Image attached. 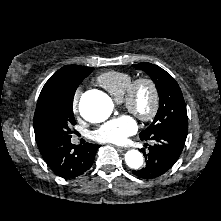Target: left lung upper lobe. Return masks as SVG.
<instances>
[{
  "label": "left lung upper lobe",
  "instance_id": "5c2ea615",
  "mask_svg": "<svg viewBox=\"0 0 221 221\" xmlns=\"http://www.w3.org/2000/svg\"><path fill=\"white\" fill-rule=\"evenodd\" d=\"M133 67L145 71L156 84L159 94V109L151 125L140 137H147L164 129L188 126L186 104L181 89L174 78L157 65L144 62Z\"/></svg>",
  "mask_w": 221,
  "mask_h": 221
}]
</instances>
